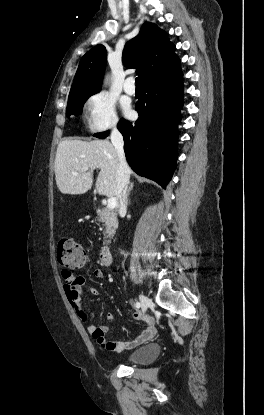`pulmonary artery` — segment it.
<instances>
[{"mask_svg": "<svg viewBox=\"0 0 264 415\" xmlns=\"http://www.w3.org/2000/svg\"><path fill=\"white\" fill-rule=\"evenodd\" d=\"M124 91L129 95H134L136 92L135 86H134V78L128 77L126 78L124 82Z\"/></svg>", "mask_w": 264, "mask_h": 415, "instance_id": "1", "label": "pulmonary artery"}]
</instances>
